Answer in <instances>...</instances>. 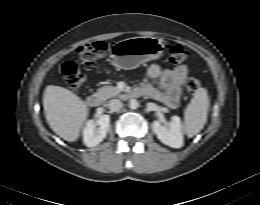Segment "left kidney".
Wrapping results in <instances>:
<instances>
[{
	"label": "left kidney",
	"mask_w": 260,
	"mask_h": 205,
	"mask_svg": "<svg viewBox=\"0 0 260 205\" xmlns=\"http://www.w3.org/2000/svg\"><path fill=\"white\" fill-rule=\"evenodd\" d=\"M152 128L163 144L172 148H181L183 146V126L178 116H173L166 125L156 120L152 123Z\"/></svg>",
	"instance_id": "obj_1"
}]
</instances>
